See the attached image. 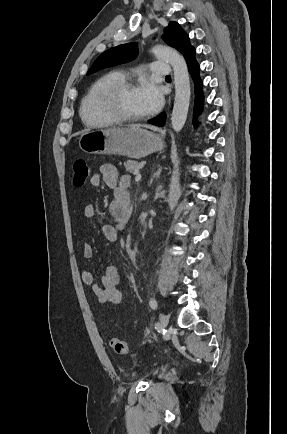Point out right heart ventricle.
Wrapping results in <instances>:
<instances>
[{"label": "right heart ventricle", "mask_w": 287, "mask_h": 434, "mask_svg": "<svg viewBox=\"0 0 287 434\" xmlns=\"http://www.w3.org/2000/svg\"><path fill=\"white\" fill-rule=\"evenodd\" d=\"M125 80L123 73L111 71L98 78L81 99L79 114L82 121L92 127L110 126L116 123L101 108L99 98L102 91L109 85Z\"/></svg>", "instance_id": "obj_1"}]
</instances>
